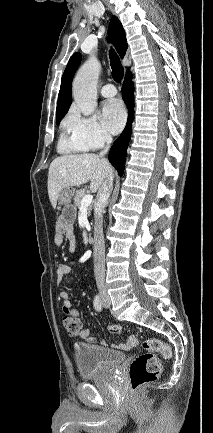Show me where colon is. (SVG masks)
<instances>
[{
	"mask_svg": "<svg viewBox=\"0 0 213 433\" xmlns=\"http://www.w3.org/2000/svg\"><path fill=\"white\" fill-rule=\"evenodd\" d=\"M63 326L70 335H76L82 329V320L78 313L67 312L63 316ZM108 330L112 334H121V327L111 325ZM129 340H135L129 336ZM146 353L138 355L129 367V385L135 391L145 384L158 378L162 369V359H169L172 356L171 347L164 341L157 338L146 339L142 342ZM159 354V356H157Z\"/></svg>",
	"mask_w": 213,
	"mask_h": 433,
	"instance_id": "obj_1",
	"label": "colon"
}]
</instances>
